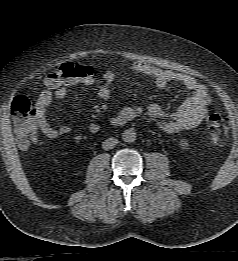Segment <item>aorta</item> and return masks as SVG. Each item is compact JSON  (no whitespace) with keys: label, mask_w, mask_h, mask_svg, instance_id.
I'll return each mask as SVG.
<instances>
[{"label":"aorta","mask_w":238,"mask_h":261,"mask_svg":"<svg viewBox=\"0 0 238 261\" xmlns=\"http://www.w3.org/2000/svg\"><path fill=\"white\" fill-rule=\"evenodd\" d=\"M122 139L126 143H132L136 140V133L133 129H127L122 134Z\"/></svg>","instance_id":"1"}]
</instances>
